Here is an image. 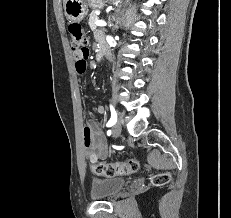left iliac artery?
<instances>
[{
	"label": "left iliac artery",
	"instance_id": "obj_1",
	"mask_svg": "<svg viewBox=\"0 0 231 218\" xmlns=\"http://www.w3.org/2000/svg\"><path fill=\"white\" fill-rule=\"evenodd\" d=\"M110 110H111V118L106 124L107 127L113 126L117 122V114L112 105H110Z\"/></svg>",
	"mask_w": 231,
	"mask_h": 218
}]
</instances>
